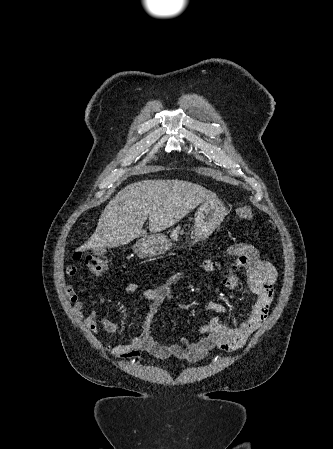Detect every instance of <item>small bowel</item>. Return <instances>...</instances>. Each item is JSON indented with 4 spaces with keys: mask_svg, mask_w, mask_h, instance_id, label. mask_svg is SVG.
I'll return each mask as SVG.
<instances>
[{
    "mask_svg": "<svg viewBox=\"0 0 333 449\" xmlns=\"http://www.w3.org/2000/svg\"><path fill=\"white\" fill-rule=\"evenodd\" d=\"M229 254L235 258L230 263L222 278L223 284L237 290L245 285L247 290L256 295L248 316L236 327H228L220 320L224 307L217 303L208 304L212 312L209 322L199 328L201 338L196 342L181 338L179 343H160L152 335V327L159 306L165 299L174 297V287L179 276L173 277L165 285L147 289L143 297L147 301V308L143 314V322L139 334L127 343L109 345L107 350L113 356L127 361H136L141 353L165 360L175 357L187 361H197L206 356L213 348L234 350L242 346L246 340L264 323L274 297V286L277 273L274 266L252 246L246 243H238L229 248ZM206 271L213 272L218 265L212 260H206L203 264ZM240 267L248 270V278L243 281L237 274ZM77 268L70 265L66 268V274L73 277ZM65 294L72 304L73 312L83 317L85 303L81 301L73 286L66 285ZM89 329L96 334L97 323L108 333L117 332V323L105 317H99L96 312H91L84 318Z\"/></svg>",
    "mask_w": 333,
    "mask_h": 449,
    "instance_id": "obj_1",
    "label": "small bowel"
}]
</instances>
